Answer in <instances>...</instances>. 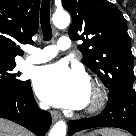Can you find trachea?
Instances as JSON below:
<instances>
[{"mask_svg":"<svg viewBox=\"0 0 136 136\" xmlns=\"http://www.w3.org/2000/svg\"><path fill=\"white\" fill-rule=\"evenodd\" d=\"M40 23L44 36V40L47 41L52 37V28L50 24V0H42L40 10Z\"/></svg>","mask_w":136,"mask_h":136,"instance_id":"1","label":"trachea"}]
</instances>
